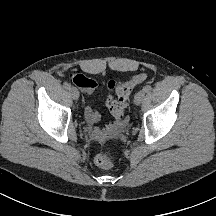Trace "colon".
Here are the masks:
<instances>
[{"label": "colon", "instance_id": "5ec220e1", "mask_svg": "<svg viewBox=\"0 0 216 216\" xmlns=\"http://www.w3.org/2000/svg\"><path fill=\"white\" fill-rule=\"evenodd\" d=\"M146 78V74L140 73L134 75L128 81L119 83L118 85L114 80H110L106 83L109 89H115L116 92L117 97L114 100H110L108 108L118 123H122L124 121L125 107L133 89L137 85L145 82ZM81 79V74H77L73 77L74 82H78ZM94 162L98 167L108 169L113 166L114 158L109 153L100 152L95 156Z\"/></svg>", "mask_w": 216, "mask_h": 216}]
</instances>
